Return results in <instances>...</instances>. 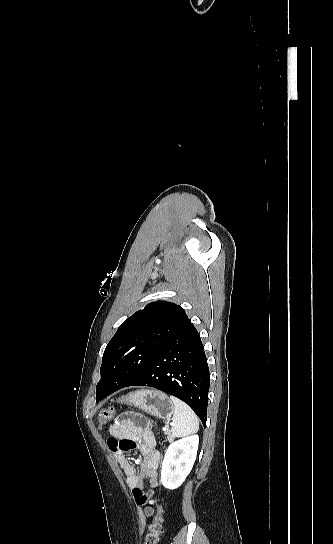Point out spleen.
<instances>
[{"mask_svg":"<svg viewBox=\"0 0 333 544\" xmlns=\"http://www.w3.org/2000/svg\"><path fill=\"white\" fill-rule=\"evenodd\" d=\"M170 399L174 404L172 435L182 437L196 433L199 429V423L193 410L175 396H170Z\"/></svg>","mask_w":333,"mask_h":544,"instance_id":"3e777b00","label":"spleen"}]
</instances>
